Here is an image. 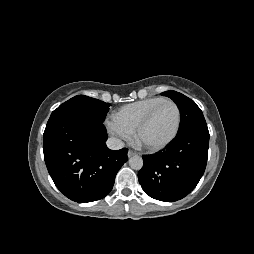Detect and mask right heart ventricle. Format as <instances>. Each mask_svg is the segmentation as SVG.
<instances>
[{"mask_svg":"<svg viewBox=\"0 0 254 254\" xmlns=\"http://www.w3.org/2000/svg\"><path fill=\"white\" fill-rule=\"evenodd\" d=\"M163 100H165L163 97H149L123 105L114 113V117L125 127L134 131L147 113Z\"/></svg>","mask_w":254,"mask_h":254,"instance_id":"e07e8e85","label":"right heart ventricle"}]
</instances>
